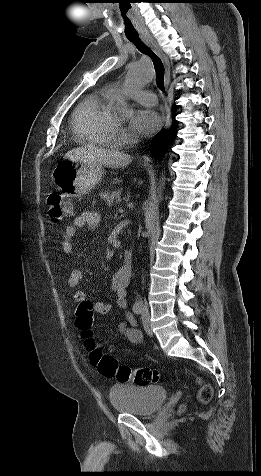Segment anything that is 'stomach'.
Here are the masks:
<instances>
[{
  "instance_id": "1",
  "label": "stomach",
  "mask_w": 261,
  "mask_h": 476,
  "mask_svg": "<svg viewBox=\"0 0 261 476\" xmlns=\"http://www.w3.org/2000/svg\"><path fill=\"white\" fill-rule=\"evenodd\" d=\"M102 165L65 160L53 170V180L64 195L81 196L92 190L102 179Z\"/></svg>"
}]
</instances>
